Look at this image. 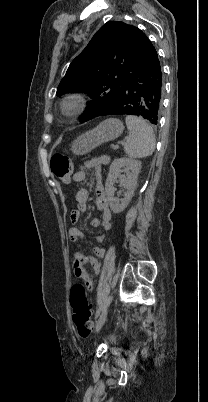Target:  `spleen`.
<instances>
[{
    "label": "spleen",
    "instance_id": "3e777b00",
    "mask_svg": "<svg viewBox=\"0 0 208 402\" xmlns=\"http://www.w3.org/2000/svg\"><path fill=\"white\" fill-rule=\"evenodd\" d=\"M127 130L131 132L124 144V152L129 158H146L151 156L155 150V136L152 128L145 120L136 116H127Z\"/></svg>",
    "mask_w": 208,
    "mask_h": 402
}]
</instances>
